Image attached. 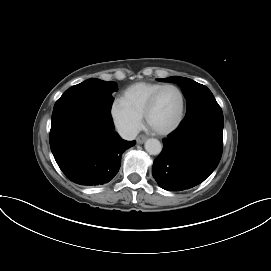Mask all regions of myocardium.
<instances>
[{
  "label": "myocardium",
  "instance_id": "f54148a6",
  "mask_svg": "<svg viewBox=\"0 0 271 271\" xmlns=\"http://www.w3.org/2000/svg\"><path fill=\"white\" fill-rule=\"evenodd\" d=\"M169 88L175 89L179 93L180 100H181L180 111H179V115H178L176 121L168 128L161 129V130H157V129L152 128L159 135H167V134L173 132L174 130H176L179 127V125L181 124V122L183 121L184 116H185L186 100H185V96H184L183 91L178 86H176L174 84H166V85H163L162 87H160L158 90H156L152 94V96L149 98V100L147 101L145 108H144V111H143V117H144L145 122L150 126L149 116H150L159 96L161 95V93L164 90L169 89Z\"/></svg>",
  "mask_w": 271,
  "mask_h": 271
}]
</instances>
